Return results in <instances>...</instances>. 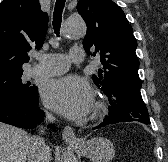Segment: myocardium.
<instances>
[{"instance_id": "1", "label": "myocardium", "mask_w": 168, "mask_h": 162, "mask_svg": "<svg viewBox=\"0 0 168 162\" xmlns=\"http://www.w3.org/2000/svg\"><path fill=\"white\" fill-rule=\"evenodd\" d=\"M106 111H107L106 104L101 100H97L92 107V118L97 119L103 116L106 113Z\"/></svg>"}]
</instances>
